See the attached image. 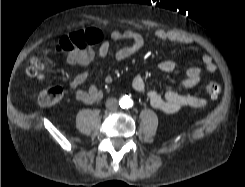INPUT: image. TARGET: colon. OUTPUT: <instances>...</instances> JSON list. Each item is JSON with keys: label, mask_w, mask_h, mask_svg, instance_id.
<instances>
[{"label": "colon", "mask_w": 245, "mask_h": 187, "mask_svg": "<svg viewBox=\"0 0 245 187\" xmlns=\"http://www.w3.org/2000/svg\"><path fill=\"white\" fill-rule=\"evenodd\" d=\"M89 45H91V43L87 40L86 31L83 30L73 32L60 38L56 46V50L60 52H72L83 50ZM25 70L30 77L38 81H42L46 78V67L35 58L28 61ZM204 89L205 92L213 98L217 97L222 91L221 85L215 82L206 84ZM63 96L64 90L61 86H48L41 91L39 95V103L44 107H50L57 104Z\"/></svg>", "instance_id": "obj_1"}]
</instances>
